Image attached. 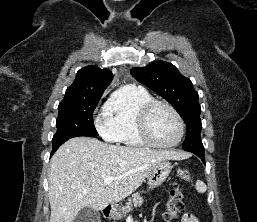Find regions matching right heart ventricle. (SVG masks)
Wrapping results in <instances>:
<instances>
[{
  "label": "right heart ventricle",
  "instance_id": "right-heart-ventricle-1",
  "mask_svg": "<svg viewBox=\"0 0 257 222\" xmlns=\"http://www.w3.org/2000/svg\"><path fill=\"white\" fill-rule=\"evenodd\" d=\"M152 99L147 90L134 86H126L112 96L106 107L111 141L130 148L147 146L139 135L137 121L141 108Z\"/></svg>",
  "mask_w": 257,
  "mask_h": 222
}]
</instances>
